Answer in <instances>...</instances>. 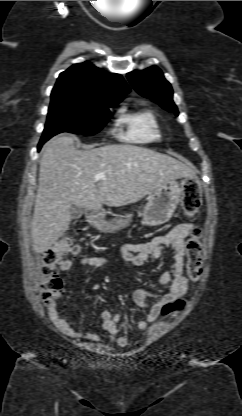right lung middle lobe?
Segmentation results:
<instances>
[{
    "label": "right lung middle lobe",
    "mask_w": 242,
    "mask_h": 416,
    "mask_svg": "<svg viewBox=\"0 0 242 416\" xmlns=\"http://www.w3.org/2000/svg\"><path fill=\"white\" fill-rule=\"evenodd\" d=\"M119 102L51 99L47 122L40 141L61 132L83 135L98 133L109 121L110 108Z\"/></svg>",
    "instance_id": "obj_1"
}]
</instances>
